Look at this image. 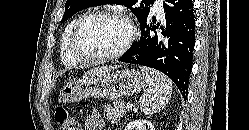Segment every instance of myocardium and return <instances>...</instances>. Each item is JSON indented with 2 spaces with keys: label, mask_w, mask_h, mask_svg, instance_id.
<instances>
[{
  "label": "myocardium",
  "mask_w": 249,
  "mask_h": 130,
  "mask_svg": "<svg viewBox=\"0 0 249 130\" xmlns=\"http://www.w3.org/2000/svg\"><path fill=\"white\" fill-rule=\"evenodd\" d=\"M95 16L119 17L127 22L129 26V35L127 39L125 40V42L121 45V47L117 49L116 51L109 53V54H105V55H87V54L80 53L78 51L77 46H76L78 33L82 25L88 19L95 17ZM137 35H138V30H137L136 24L127 13L121 10H116V9H95V10L86 12L85 14L80 16L78 20L76 21L71 31L70 37H69L68 51L74 59L80 62H87V63L107 62V61L118 59L121 56H123L128 51L132 43L135 41V39L137 38Z\"/></svg>",
  "instance_id": "1"
}]
</instances>
